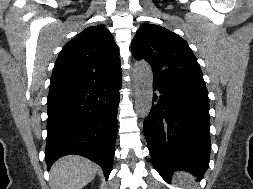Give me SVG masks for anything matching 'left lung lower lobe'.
<instances>
[{
	"label": "left lung lower lobe",
	"instance_id": "left-lung-lower-lobe-1",
	"mask_svg": "<svg viewBox=\"0 0 253 189\" xmlns=\"http://www.w3.org/2000/svg\"><path fill=\"white\" fill-rule=\"evenodd\" d=\"M209 100L153 83V103L143 129L152 161L165 180L187 170L200 180L209 167Z\"/></svg>",
	"mask_w": 253,
	"mask_h": 189
}]
</instances>
